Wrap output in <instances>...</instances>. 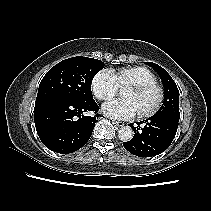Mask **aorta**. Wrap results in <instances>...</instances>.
<instances>
[{
    "label": "aorta",
    "instance_id": "aorta-1",
    "mask_svg": "<svg viewBox=\"0 0 211 211\" xmlns=\"http://www.w3.org/2000/svg\"><path fill=\"white\" fill-rule=\"evenodd\" d=\"M133 130L129 126L121 127L118 130V137L121 141L128 142L133 138Z\"/></svg>",
    "mask_w": 211,
    "mask_h": 211
}]
</instances>
